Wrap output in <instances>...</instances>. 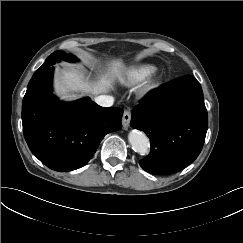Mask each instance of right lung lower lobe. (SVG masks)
Here are the masks:
<instances>
[{
  "label": "right lung lower lobe",
  "mask_w": 243,
  "mask_h": 243,
  "mask_svg": "<svg viewBox=\"0 0 243 243\" xmlns=\"http://www.w3.org/2000/svg\"><path fill=\"white\" fill-rule=\"evenodd\" d=\"M52 65L43 64L28 84L22 103L23 133L43 164L67 172L87 164L103 137L121 129L123 110L103 108L89 98L60 101L51 90Z\"/></svg>",
  "instance_id": "1"
}]
</instances>
